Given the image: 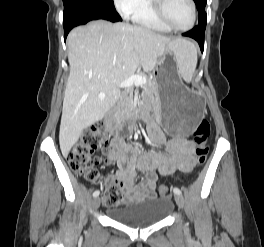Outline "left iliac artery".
Here are the masks:
<instances>
[{"label": "left iliac artery", "instance_id": "1", "mask_svg": "<svg viewBox=\"0 0 264 247\" xmlns=\"http://www.w3.org/2000/svg\"><path fill=\"white\" fill-rule=\"evenodd\" d=\"M173 192L175 194H181V190L179 188H177V187L173 188Z\"/></svg>", "mask_w": 264, "mask_h": 247}]
</instances>
